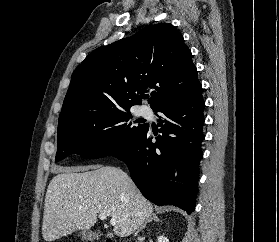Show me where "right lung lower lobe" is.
Segmentation results:
<instances>
[{"mask_svg":"<svg viewBox=\"0 0 279 242\" xmlns=\"http://www.w3.org/2000/svg\"><path fill=\"white\" fill-rule=\"evenodd\" d=\"M201 84L191 93L156 108L162 136L152 142L149 126L114 155L124 161L145 198L158 206L173 204L188 214L195 209L204 140Z\"/></svg>","mask_w":279,"mask_h":242,"instance_id":"obj_1","label":"right lung lower lobe"}]
</instances>
